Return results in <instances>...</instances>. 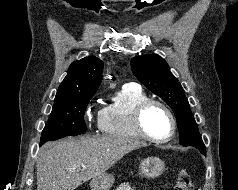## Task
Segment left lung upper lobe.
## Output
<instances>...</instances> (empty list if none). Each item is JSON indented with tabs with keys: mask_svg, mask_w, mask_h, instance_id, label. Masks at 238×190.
I'll return each instance as SVG.
<instances>
[{
	"mask_svg": "<svg viewBox=\"0 0 238 190\" xmlns=\"http://www.w3.org/2000/svg\"><path fill=\"white\" fill-rule=\"evenodd\" d=\"M131 68L140 82L148 90L161 97L174 111L180 144L194 146L206 155V148L185 92L171 73L167 62L156 54L143 55L132 58Z\"/></svg>",
	"mask_w": 238,
	"mask_h": 190,
	"instance_id": "5c2ea615",
	"label": "left lung upper lobe"
}]
</instances>
